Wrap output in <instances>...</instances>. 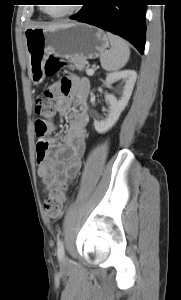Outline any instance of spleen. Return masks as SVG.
Instances as JSON below:
<instances>
[{
	"label": "spleen",
	"mask_w": 181,
	"mask_h": 300,
	"mask_svg": "<svg viewBox=\"0 0 181 300\" xmlns=\"http://www.w3.org/2000/svg\"><path fill=\"white\" fill-rule=\"evenodd\" d=\"M111 48L100 56L101 66L108 72L117 71L125 66L130 57V49L121 37L107 32Z\"/></svg>",
	"instance_id": "1"
}]
</instances>
